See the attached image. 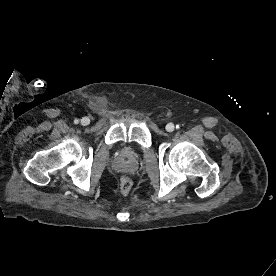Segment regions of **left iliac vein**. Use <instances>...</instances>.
Returning a JSON list of instances; mask_svg holds the SVG:
<instances>
[{
	"label": "left iliac vein",
	"mask_w": 276,
	"mask_h": 276,
	"mask_svg": "<svg viewBox=\"0 0 276 276\" xmlns=\"http://www.w3.org/2000/svg\"><path fill=\"white\" fill-rule=\"evenodd\" d=\"M174 128H175V126H174L173 123H168V124L166 125V130H167L168 132H172V131L174 130Z\"/></svg>",
	"instance_id": "left-iliac-vein-1"
}]
</instances>
